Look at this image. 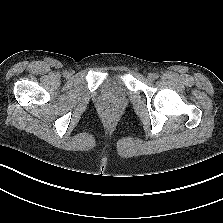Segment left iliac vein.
<instances>
[{"mask_svg": "<svg viewBox=\"0 0 223 223\" xmlns=\"http://www.w3.org/2000/svg\"><path fill=\"white\" fill-rule=\"evenodd\" d=\"M147 78L149 79V80H154L155 79V74H153V73H149L148 75H147Z\"/></svg>", "mask_w": 223, "mask_h": 223, "instance_id": "4c4485c4", "label": "left iliac vein"}]
</instances>
